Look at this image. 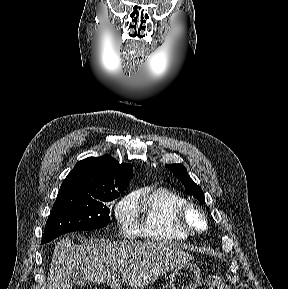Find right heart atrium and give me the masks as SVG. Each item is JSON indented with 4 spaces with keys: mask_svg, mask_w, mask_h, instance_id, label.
Returning a JSON list of instances; mask_svg holds the SVG:
<instances>
[{
    "mask_svg": "<svg viewBox=\"0 0 288 289\" xmlns=\"http://www.w3.org/2000/svg\"><path fill=\"white\" fill-rule=\"evenodd\" d=\"M115 215L123 234L133 236L136 231L134 203L130 196L122 198L115 207Z\"/></svg>",
    "mask_w": 288,
    "mask_h": 289,
    "instance_id": "obj_1",
    "label": "right heart atrium"
}]
</instances>
